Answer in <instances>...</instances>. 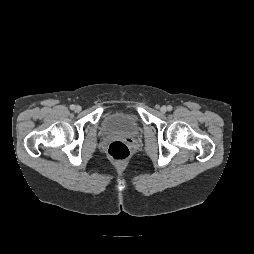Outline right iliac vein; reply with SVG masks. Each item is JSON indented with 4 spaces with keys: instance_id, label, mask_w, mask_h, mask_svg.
<instances>
[{
    "instance_id": "obj_1",
    "label": "right iliac vein",
    "mask_w": 254,
    "mask_h": 254,
    "mask_svg": "<svg viewBox=\"0 0 254 254\" xmlns=\"http://www.w3.org/2000/svg\"><path fill=\"white\" fill-rule=\"evenodd\" d=\"M75 110L78 111V112L81 111V106L77 105V106L75 107Z\"/></svg>"
}]
</instances>
